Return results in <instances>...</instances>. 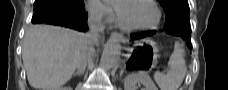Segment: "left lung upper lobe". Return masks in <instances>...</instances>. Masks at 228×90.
<instances>
[{
  "instance_id": "1",
  "label": "left lung upper lobe",
  "mask_w": 228,
  "mask_h": 90,
  "mask_svg": "<svg viewBox=\"0 0 228 90\" xmlns=\"http://www.w3.org/2000/svg\"><path fill=\"white\" fill-rule=\"evenodd\" d=\"M165 10V28L190 29L189 5L187 0H158Z\"/></svg>"
}]
</instances>
